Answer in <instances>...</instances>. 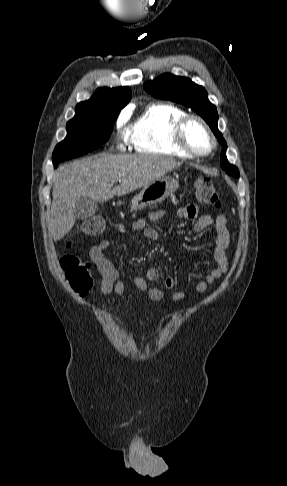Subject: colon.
Listing matches in <instances>:
<instances>
[{
  "mask_svg": "<svg viewBox=\"0 0 287 486\" xmlns=\"http://www.w3.org/2000/svg\"><path fill=\"white\" fill-rule=\"evenodd\" d=\"M195 192L203 204L219 207L220 198L214 183L207 177H199L195 181ZM105 229V220L100 216L86 219L81 226L85 235L98 236ZM66 279L74 291L81 295L88 294L94 285L92 269L86 261L73 254H66L60 260Z\"/></svg>",
  "mask_w": 287,
  "mask_h": 486,
  "instance_id": "5ec220e1",
  "label": "colon"
}]
</instances>
